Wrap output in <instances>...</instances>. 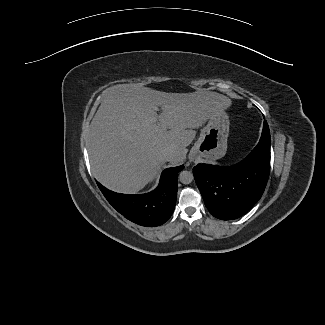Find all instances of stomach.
<instances>
[{
	"instance_id": "1",
	"label": "stomach",
	"mask_w": 325,
	"mask_h": 325,
	"mask_svg": "<svg viewBox=\"0 0 325 325\" xmlns=\"http://www.w3.org/2000/svg\"><path fill=\"white\" fill-rule=\"evenodd\" d=\"M229 118L225 111L210 116L207 125L193 146L190 157L194 160L214 161L223 157L227 149Z\"/></svg>"
}]
</instances>
